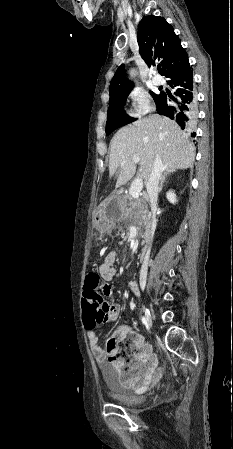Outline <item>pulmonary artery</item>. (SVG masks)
Returning <instances> with one entry per match:
<instances>
[{
    "label": "pulmonary artery",
    "instance_id": "1",
    "mask_svg": "<svg viewBox=\"0 0 233 449\" xmlns=\"http://www.w3.org/2000/svg\"><path fill=\"white\" fill-rule=\"evenodd\" d=\"M153 83L155 85H163L164 84V79L160 75L155 74L153 76Z\"/></svg>",
    "mask_w": 233,
    "mask_h": 449
}]
</instances>
